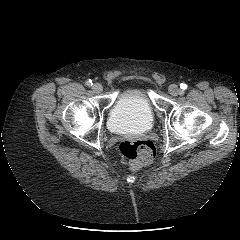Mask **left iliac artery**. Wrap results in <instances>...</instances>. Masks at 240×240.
I'll use <instances>...</instances> for the list:
<instances>
[{"mask_svg": "<svg viewBox=\"0 0 240 240\" xmlns=\"http://www.w3.org/2000/svg\"><path fill=\"white\" fill-rule=\"evenodd\" d=\"M180 88L182 90H185L187 88V85L185 83L180 84Z\"/></svg>", "mask_w": 240, "mask_h": 240, "instance_id": "44dca946", "label": "left iliac artery"}]
</instances>
